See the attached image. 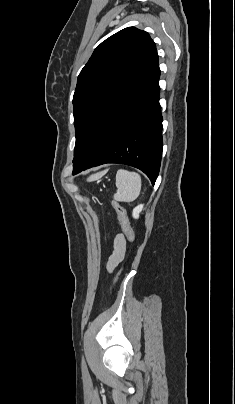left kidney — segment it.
Returning <instances> with one entry per match:
<instances>
[{
	"instance_id": "5707ae66",
	"label": "left kidney",
	"mask_w": 235,
	"mask_h": 404,
	"mask_svg": "<svg viewBox=\"0 0 235 404\" xmlns=\"http://www.w3.org/2000/svg\"><path fill=\"white\" fill-rule=\"evenodd\" d=\"M142 209H143V205H142V204H141V205H138L137 207H135V208L133 209L132 215H133V217H134L135 219H138V218H139V214H140V212L142 211Z\"/></svg>"
}]
</instances>
